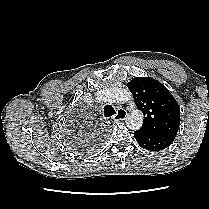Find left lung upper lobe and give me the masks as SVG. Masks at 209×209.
Instances as JSON below:
<instances>
[{
    "instance_id": "5c2ea615",
    "label": "left lung upper lobe",
    "mask_w": 209,
    "mask_h": 209,
    "mask_svg": "<svg viewBox=\"0 0 209 209\" xmlns=\"http://www.w3.org/2000/svg\"><path fill=\"white\" fill-rule=\"evenodd\" d=\"M127 85L144 115L140 129L175 139L180 124V108L168 89L149 77H135Z\"/></svg>"
}]
</instances>
